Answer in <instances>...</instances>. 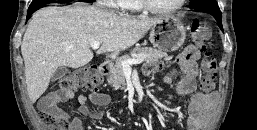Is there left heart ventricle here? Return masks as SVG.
<instances>
[{
    "label": "left heart ventricle",
    "mask_w": 257,
    "mask_h": 130,
    "mask_svg": "<svg viewBox=\"0 0 257 130\" xmlns=\"http://www.w3.org/2000/svg\"><path fill=\"white\" fill-rule=\"evenodd\" d=\"M152 5H154L157 8H171L175 6L179 0H150Z\"/></svg>",
    "instance_id": "b2bd125f"
}]
</instances>
